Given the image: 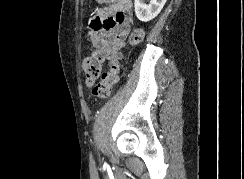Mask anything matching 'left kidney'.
I'll use <instances>...</instances> for the list:
<instances>
[{
  "mask_svg": "<svg viewBox=\"0 0 244 179\" xmlns=\"http://www.w3.org/2000/svg\"><path fill=\"white\" fill-rule=\"evenodd\" d=\"M167 0H150V4H145V0H135L134 8L138 20L150 22L160 14Z\"/></svg>",
  "mask_w": 244,
  "mask_h": 179,
  "instance_id": "1",
  "label": "left kidney"
}]
</instances>
